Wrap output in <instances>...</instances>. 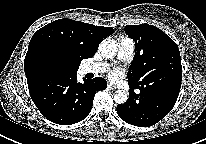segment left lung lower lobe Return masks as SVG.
<instances>
[{
    "label": "left lung lower lobe",
    "instance_id": "1",
    "mask_svg": "<svg viewBox=\"0 0 206 144\" xmlns=\"http://www.w3.org/2000/svg\"><path fill=\"white\" fill-rule=\"evenodd\" d=\"M129 99L117 106L119 117L134 126L148 127L162 120L174 107L179 86L146 87L139 83L128 82ZM139 89L136 93L134 90Z\"/></svg>",
    "mask_w": 206,
    "mask_h": 144
}]
</instances>
